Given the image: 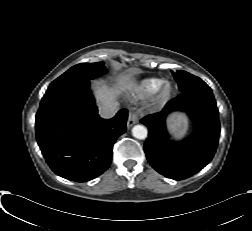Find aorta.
<instances>
[{"label":"aorta","instance_id":"aorta-1","mask_svg":"<svg viewBox=\"0 0 252 231\" xmlns=\"http://www.w3.org/2000/svg\"><path fill=\"white\" fill-rule=\"evenodd\" d=\"M132 135L137 139L144 140L148 135L147 128L143 125H135L132 128Z\"/></svg>","mask_w":252,"mask_h":231}]
</instances>
